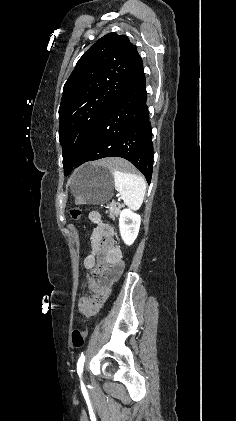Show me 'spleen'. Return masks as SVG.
Masks as SVG:
<instances>
[{
	"label": "spleen",
	"instance_id": "obj_1",
	"mask_svg": "<svg viewBox=\"0 0 236 421\" xmlns=\"http://www.w3.org/2000/svg\"><path fill=\"white\" fill-rule=\"evenodd\" d=\"M113 164L114 162H110L107 166L113 170L116 190H118L125 204L129 206L130 211H137V208H140L144 200L146 192V182L143 176L131 174V172H121Z\"/></svg>",
	"mask_w": 236,
	"mask_h": 421
}]
</instances>
